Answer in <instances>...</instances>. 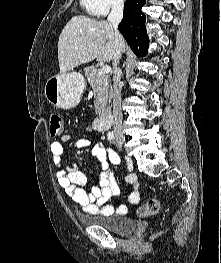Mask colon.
Masks as SVG:
<instances>
[{
    "mask_svg": "<svg viewBox=\"0 0 221 263\" xmlns=\"http://www.w3.org/2000/svg\"><path fill=\"white\" fill-rule=\"evenodd\" d=\"M63 132V120L60 114L52 113L50 115V135L57 137ZM160 210V202L156 198H150L137 209L139 217L155 215Z\"/></svg>",
    "mask_w": 221,
    "mask_h": 263,
    "instance_id": "obj_1",
    "label": "colon"
}]
</instances>
